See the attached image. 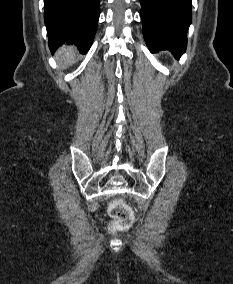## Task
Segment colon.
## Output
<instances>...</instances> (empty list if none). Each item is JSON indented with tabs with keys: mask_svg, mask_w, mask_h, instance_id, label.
<instances>
[{
	"mask_svg": "<svg viewBox=\"0 0 233 284\" xmlns=\"http://www.w3.org/2000/svg\"><path fill=\"white\" fill-rule=\"evenodd\" d=\"M109 213L117 221L119 226H128L133 221L132 211L120 200L114 201L110 204Z\"/></svg>",
	"mask_w": 233,
	"mask_h": 284,
	"instance_id": "colon-1",
	"label": "colon"
}]
</instances>
